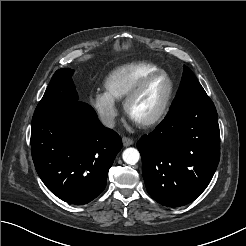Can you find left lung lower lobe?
Here are the masks:
<instances>
[{
	"label": "left lung lower lobe",
	"mask_w": 246,
	"mask_h": 246,
	"mask_svg": "<svg viewBox=\"0 0 246 246\" xmlns=\"http://www.w3.org/2000/svg\"><path fill=\"white\" fill-rule=\"evenodd\" d=\"M146 189L158 203L179 207L208 186L220 159L217 111L209 97L170 110L137 143Z\"/></svg>",
	"instance_id": "1"
}]
</instances>
